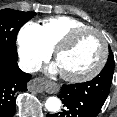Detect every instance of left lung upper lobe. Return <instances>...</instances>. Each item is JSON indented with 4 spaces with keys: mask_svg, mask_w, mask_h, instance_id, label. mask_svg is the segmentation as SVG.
I'll return each mask as SVG.
<instances>
[{
    "mask_svg": "<svg viewBox=\"0 0 117 117\" xmlns=\"http://www.w3.org/2000/svg\"><path fill=\"white\" fill-rule=\"evenodd\" d=\"M104 70H106L105 73L108 75L107 78L109 79V82L111 83L112 77H113V72H114V57L112 55V51H111L110 47H109V57H108L107 63L98 76H103Z\"/></svg>",
    "mask_w": 117,
    "mask_h": 117,
    "instance_id": "obj_1",
    "label": "left lung upper lobe"
}]
</instances>
